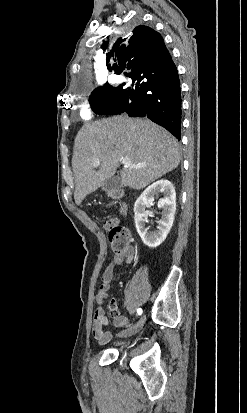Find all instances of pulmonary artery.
<instances>
[{
	"mask_svg": "<svg viewBox=\"0 0 247 413\" xmlns=\"http://www.w3.org/2000/svg\"><path fill=\"white\" fill-rule=\"evenodd\" d=\"M124 81L125 78L123 76H113L110 79V83L115 86L121 85Z\"/></svg>",
	"mask_w": 247,
	"mask_h": 413,
	"instance_id": "1",
	"label": "pulmonary artery"
}]
</instances>
